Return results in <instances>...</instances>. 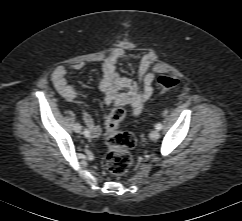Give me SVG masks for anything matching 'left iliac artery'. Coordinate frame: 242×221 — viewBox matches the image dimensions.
<instances>
[{
    "mask_svg": "<svg viewBox=\"0 0 242 221\" xmlns=\"http://www.w3.org/2000/svg\"><path fill=\"white\" fill-rule=\"evenodd\" d=\"M156 129L158 130L162 129V124L161 123L156 124Z\"/></svg>",
    "mask_w": 242,
    "mask_h": 221,
    "instance_id": "44dca946",
    "label": "left iliac artery"
}]
</instances>
